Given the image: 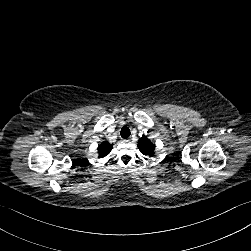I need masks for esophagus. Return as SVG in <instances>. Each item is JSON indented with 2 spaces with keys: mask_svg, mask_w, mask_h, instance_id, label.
I'll return each mask as SVG.
<instances>
[{
  "mask_svg": "<svg viewBox=\"0 0 251 251\" xmlns=\"http://www.w3.org/2000/svg\"><path fill=\"white\" fill-rule=\"evenodd\" d=\"M128 140L123 139L122 142H127Z\"/></svg>",
  "mask_w": 251,
  "mask_h": 251,
  "instance_id": "esophagus-1",
  "label": "esophagus"
}]
</instances>
